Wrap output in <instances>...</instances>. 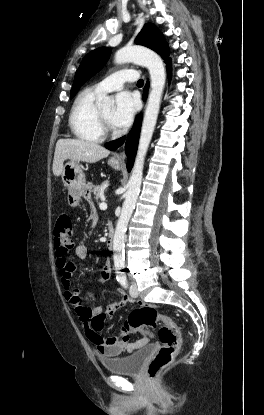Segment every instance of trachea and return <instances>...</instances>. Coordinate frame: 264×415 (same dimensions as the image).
<instances>
[{
  "mask_svg": "<svg viewBox=\"0 0 264 415\" xmlns=\"http://www.w3.org/2000/svg\"><path fill=\"white\" fill-rule=\"evenodd\" d=\"M143 84H144V81L142 79H139L138 82H137V85L142 86Z\"/></svg>",
  "mask_w": 264,
  "mask_h": 415,
  "instance_id": "3493384b",
  "label": "trachea"
}]
</instances>
